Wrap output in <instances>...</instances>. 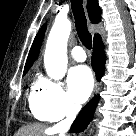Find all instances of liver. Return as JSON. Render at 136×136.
Segmentation results:
<instances>
[{
  "mask_svg": "<svg viewBox=\"0 0 136 136\" xmlns=\"http://www.w3.org/2000/svg\"><path fill=\"white\" fill-rule=\"evenodd\" d=\"M57 132L54 127L46 128L41 124H30L21 127L15 136H44L45 134L54 136Z\"/></svg>",
  "mask_w": 136,
  "mask_h": 136,
  "instance_id": "6515ba94",
  "label": "liver"
}]
</instances>
